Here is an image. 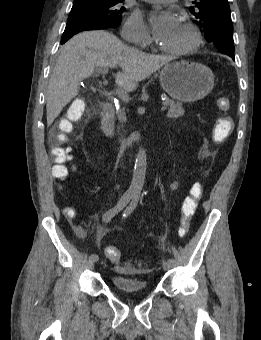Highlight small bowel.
<instances>
[{"label":"small bowel","mask_w":261,"mask_h":340,"mask_svg":"<svg viewBox=\"0 0 261 340\" xmlns=\"http://www.w3.org/2000/svg\"><path fill=\"white\" fill-rule=\"evenodd\" d=\"M178 186L177 182H173L171 184V188L174 190ZM67 214L70 218L75 217V212L73 210H67ZM74 231L79 237H84L86 235V224L85 223H76L74 224ZM103 234V230L101 228L98 229L97 236L101 237ZM117 270H123L122 267H117Z\"/></svg>","instance_id":"small-bowel-1"}]
</instances>
